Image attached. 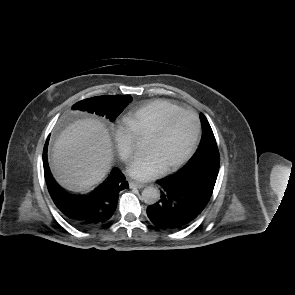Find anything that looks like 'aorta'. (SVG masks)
<instances>
[{"label":"aorta","instance_id":"obj_1","mask_svg":"<svg viewBox=\"0 0 295 295\" xmlns=\"http://www.w3.org/2000/svg\"><path fill=\"white\" fill-rule=\"evenodd\" d=\"M160 198V192L158 189L153 187L144 188L142 191V200L148 204H155Z\"/></svg>","mask_w":295,"mask_h":295}]
</instances>
